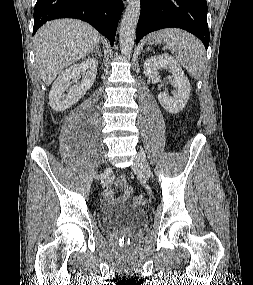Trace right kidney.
Segmentation results:
<instances>
[{"label":"right kidney","mask_w":253,"mask_h":285,"mask_svg":"<svg viewBox=\"0 0 253 285\" xmlns=\"http://www.w3.org/2000/svg\"><path fill=\"white\" fill-rule=\"evenodd\" d=\"M98 61L88 58L60 73L49 92V104L55 111L61 112L77 103L91 88L97 74ZM84 74L80 85L72 84L71 80ZM67 92V94H65Z\"/></svg>","instance_id":"ca27d5eb"}]
</instances>
